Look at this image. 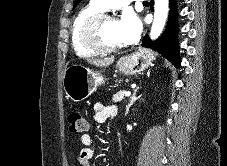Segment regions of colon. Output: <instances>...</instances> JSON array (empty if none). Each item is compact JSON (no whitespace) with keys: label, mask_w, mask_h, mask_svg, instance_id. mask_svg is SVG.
I'll return each instance as SVG.
<instances>
[{"label":"colon","mask_w":227,"mask_h":166,"mask_svg":"<svg viewBox=\"0 0 227 166\" xmlns=\"http://www.w3.org/2000/svg\"><path fill=\"white\" fill-rule=\"evenodd\" d=\"M70 133L84 132L88 127V121L80 111H73L68 116Z\"/></svg>","instance_id":"colon-1"}]
</instances>
